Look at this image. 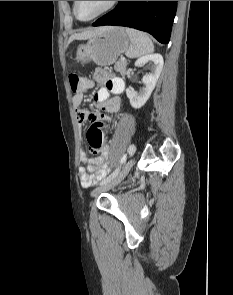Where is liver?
<instances>
[{
    "label": "liver",
    "instance_id": "obj_1",
    "mask_svg": "<svg viewBox=\"0 0 233 295\" xmlns=\"http://www.w3.org/2000/svg\"><path fill=\"white\" fill-rule=\"evenodd\" d=\"M105 29V27H100V28H96L93 30H89V31H85L79 34H74L72 35L69 40H68V44L71 43L73 40H85V39H89L93 36H95L96 34H99L100 32H102Z\"/></svg>",
    "mask_w": 233,
    "mask_h": 295
}]
</instances>
